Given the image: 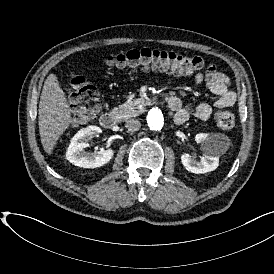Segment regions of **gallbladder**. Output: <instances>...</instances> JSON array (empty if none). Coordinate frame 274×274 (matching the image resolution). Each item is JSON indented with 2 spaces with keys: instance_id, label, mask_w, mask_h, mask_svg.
I'll return each mask as SVG.
<instances>
[{
  "instance_id": "obj_1",
  "label": "gallbladder",
  "mask_w": 274,
  "mask_h": 274,
  "mask_svg": "<svg viewBox=\"0 0 274 274\" xmlns=\"http://www.w3.org/2000/svg\"><path fill=\"white\" fill-rule=\"evenodd\" d=\"M65 79L69 83H77L81 79V72L77 68H69L65 72Z\"/></svg>"
}]
</instances>
